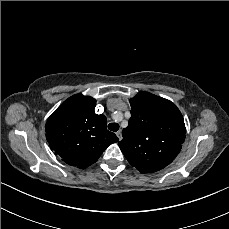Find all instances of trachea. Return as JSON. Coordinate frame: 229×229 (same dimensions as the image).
<instances>
[{
  "label": "trachea",
  "instance_id": "3493384b",
  "mask_svg": "<svg viewBox=\"0 0 229 229\" xmlns=\"http://www.w3.org/2000/svg\"><path fill=\"white\" fill-rule=\"evenodd\" d=\"M108 129L110 131L116 132L119 129V124L118 123H109L108 124Z\"/></svg>",
  "mask_w": 229,
  "mask_h": 229
}]
</instances>
